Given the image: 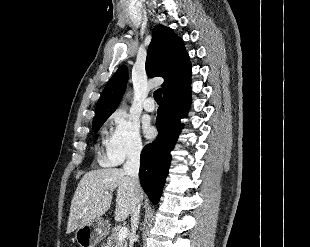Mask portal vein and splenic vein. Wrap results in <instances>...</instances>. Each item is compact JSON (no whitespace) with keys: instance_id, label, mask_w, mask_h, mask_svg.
<instances>
[{"instance_id":"1","label":"portal vein and splenic vein","mask_w":310,"mask_h":247,"mask_svg":"<svg viewBox=\"0 0 310 247\" xmlns=\"http://www.w3.org/2000/svg\"><path fill=\"white\" fill-rule=\"evenodd\" d=\"M128 235V229L126 227H121L117 233V238L119 241L124 240Z\"/></svg>"}]
</instances>
